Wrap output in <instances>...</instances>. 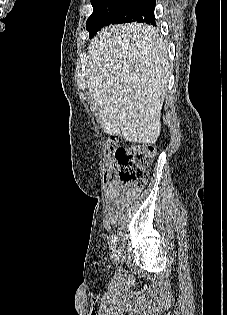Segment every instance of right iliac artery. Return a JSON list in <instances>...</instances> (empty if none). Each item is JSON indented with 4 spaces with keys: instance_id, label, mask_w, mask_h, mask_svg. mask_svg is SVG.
I'll return each mask as SVG.
<instances>
[{
    "instance_id": "right-iliac-artery-1",
    "label": "right iliac artery",
    "mask_w": 227,
    "mask_h": 315,
    "mask_svg": "<svg viewBox=\"0 0 227 315\" xmlns=\"http://www.w3.org/2000/svg\"><path fill=\"white\" fill-rule=\"evenodd\" d=\"M117 239H118L117 236L114 235L113 238H112V242H114V243L117 242Z\"/></svg>"
}]
</instances>
